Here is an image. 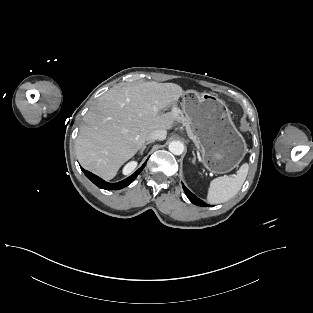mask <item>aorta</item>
<instances>
[{"label": "aorta", "mask_w": 313, "mask_h": 313, "mask_svg": "<svg viewBox=\"0 0 313 313\" xmlns=\"http://www.w3.org/2000/svg\"><path fill=\"white\" fill-rule=\"evenodd\" d=\"M169 151L174 155H181L184 151V145L179 141H172L169 143Z\"/></svg>", "instance_id": "1"}]
</instances>
